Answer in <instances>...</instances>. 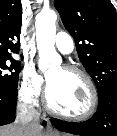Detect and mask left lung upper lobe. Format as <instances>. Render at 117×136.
Instances as JSON below:
<instances>
[{
  "label": "left lung upper lobe",
  "instance_id": "5c2ea615",
  "mask_svg": "<svg viewBox=\"0 0 117 136\" xmlns=\"http://www.w3.org/2000/svg\"><path fill=\"white\" fill-rule=\"evenodd\" d=\"M98 96L117 84V15L110 0H55Z\"/></svg>",
  "mask_w": 117,
  "mask_h": 136
}]
</instances>
